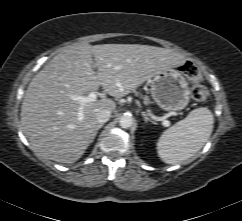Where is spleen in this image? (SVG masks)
<instances>
[{
  "mask_svg": "<svg viewBox=\"0 0 242 221\" xmlns=\"http://www.w3.org/2000/svg\"><path fill=\"white\" fill-rule=\"evenodd\" d=\"M214 118L210 110L196 108L162 133L157 152L167 164H177L194 156L209 139Z\"/></svg>",
  "mask_w": 242,
  "mask_h": 221,
  "instance_id": "3e777b00",
  "label": "spleen"
}]
</instances>
